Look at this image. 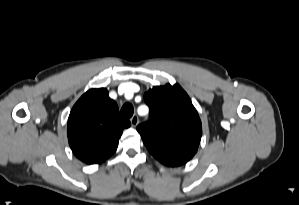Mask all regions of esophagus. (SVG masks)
Instances as JSON below:
<instances>
[{"label": "esophagus", "instance_id": "34e87169", "mask_svg": "<svg viewBox=\"0 0 299 205\" xmlns=\"http://www.w3.org/2000/svg\"><path fill=\"white\" fill-rule=\"evenodd\" d=\"M131 125L133 127L137 126L139 123V118L137 115H133L132 118L130 119Z\"/></svg>", "mask_w": 299, "mask_h": 205}]
</instances>
